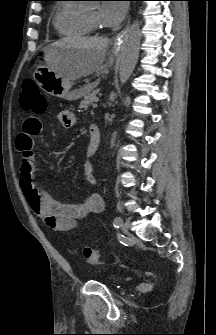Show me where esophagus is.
<instances>
[{
	"mask_svg": "<svg viewBox=\"0 0 216 335\" xmlns=\"http://www.w3.org/2000/svg\"><path fill=\"white\" fill-rule=\"evenodd\" d=\"M128 24H129V20H128ZM127 24V26H128ZM126 34V29L122 30L114 39V48H119L121 46V43L123 41V38Z\"/></svg>",
	"mask_w": 216,
	"mask_h": 335,
	"instance_id": "esophagus-1",
	"label": "esophagus"
}]
</instances>
